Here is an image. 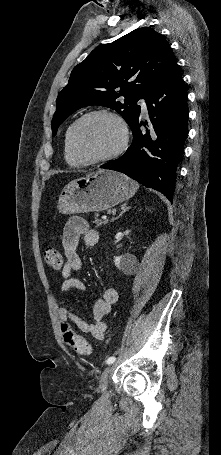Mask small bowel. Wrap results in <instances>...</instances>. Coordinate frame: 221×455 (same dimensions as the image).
Segmentation results:
<instances>
[{"instance_id": "obj_1", "label": "small bowel", "mask_w": 221, "mask_h": 455, "mask_svg": "<svg viewBox=\"0 0 221 455\" xmlns=\"http://www.w3.org/2000/svg\"><path fill=\"white\" fill-rule=\"evenodd\" d=\"M88 247L96 246L99 243L100 235L79 217L71 218L63 229L62 246L65 254L64 267L62 268V291L69 294L73 289L85 291V284L73 277V273L79 272L82 268V260L77 253L80 241ZM118 300V292L114 287H107L93 306V322H88L67 308L58 310V318L63 323L72 322L77 328L96 340H103L107 331V325L103 321L104 317L111 311V307Z\"/></svg>"}]
</instances>
